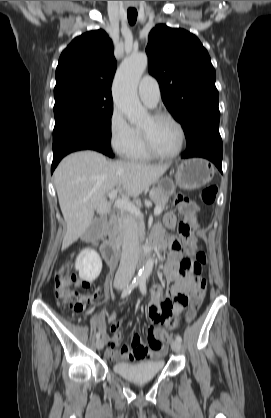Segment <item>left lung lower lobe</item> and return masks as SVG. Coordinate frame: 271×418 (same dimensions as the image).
I'll return each mask as SVG.
<instances>
[{
  "instance_id": "0a47b994",
  "label": "left lung lower lobe",
  "mask_w": 271,
  "mask_h": 418,
  "mask_svg": "<svg viewBox=\"0 0 271 418\" xmlns=\"http://www.w3.org/2000/svg\"><path fill=\"white\" fill-rule=\"evenodd\" d=\"M222 139L219 132L203 133L187 145L182 158L203 157L212 161L222 172Z\"/></svg>"
}]
</instances>
